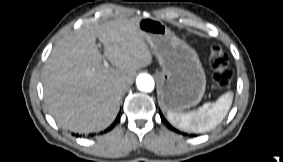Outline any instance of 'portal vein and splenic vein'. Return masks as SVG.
<instances>
[{
    "label": "portal vein and splenic vein",
    "mask_w": 283,
    "mask_h": 162,
    "mask_svg": "<svg viewBox=\"0 0 283 162\" xmlns=\"http://www.w3.org/2000/svg\"><path fill=\"white\" fill-rule=\"evenodd\" d=\"M104 66L109 67V63L106 60H104Z\"/></svg>",
    "instance_id": "1"
}]
</instances>
